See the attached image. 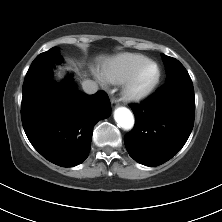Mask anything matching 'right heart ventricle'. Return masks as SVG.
<instances>
[{"label": "right heart ventricle", "mask_w": 222, "mask_h": 222, "mask_svg": "<svg viewBox=\"0 0 222 222\" xmlns=\"http://www.w3.org/2000/svg\"><path fill=\"white\" fill-rule=\"evenodd\" d=\"M146 60L147 57L141 54L123 53L117 55L101 69L99 77L108 83H123Z\"/></svg>", "instance_id": "1"}]
</instances>
